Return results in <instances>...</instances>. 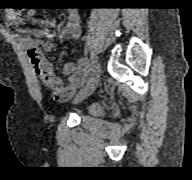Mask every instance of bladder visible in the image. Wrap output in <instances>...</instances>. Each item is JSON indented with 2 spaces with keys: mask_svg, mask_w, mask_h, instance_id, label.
Returning <instances> with one entry per match:
<instances>
[{
  "mask_svg": "<svg viewBox=\"0 0 192 180\" xmlns=\"http://www.w3.org/2000/svg\"><path fill=\"white\" fill-rule=\"evenodd\" d=\"M104 113V107L99 102H91L82 109V114L86 116H101Z\"/></svg>",
  "mask_w": 192,
  "mask_h": 180,
  "instance_id": "obj_1",
  "label": "bladder"
}]
</instances>
